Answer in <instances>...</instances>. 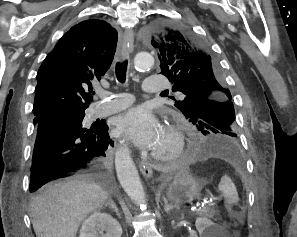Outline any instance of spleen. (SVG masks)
<instances>
[{"label": "spleen", "mask_w": 297, "mask_h": 237, "mask_svg": "<svg viewBox=\"0 0 297 237\" xmlns=\"http://www.w3.org/2000/svg\"><path fill=\"white\" fill-rule=\"evenodd\" d=\"M218 190L223 193L227 205L238 202L239 198L236 187L227 175H224L221 178L220 183L218 184Z\"/></svg>", "instance_id": "spleen-1"}]
</instances>
